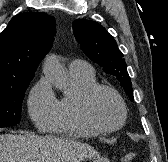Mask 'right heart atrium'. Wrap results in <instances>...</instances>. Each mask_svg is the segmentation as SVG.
Listing matches in <instances>:
<instances>
[{"label":"right heart atrium","mask_w":168,"mask_h":162,"mask_svg":"<svg viewBox=\"0 0 168 162\" xmlns=\"http://www.w3.org/2000/svg\"><path fill=\"white\" fill-rule=\"evenodd\" d=\"M28 111L40 130H50L57 122L59 102L47 78L38 80L31 89L28 97Z\"/></svg>","instance_id":"right-heart-atrium-1"}]
</instances>
